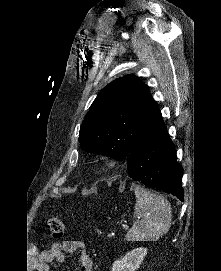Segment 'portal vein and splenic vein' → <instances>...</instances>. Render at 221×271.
I'll return each instance as SVG.
<instances>
[{"instance_id":"obj_1","label":"portal vein and splenic vein","mask_w":221,"mask_h":271,"mask_svg":"<svg viewBox=\"0 0 221 271\" xmlns=\"http://www.w3.org/2000/svg\"><path fill=\"white\" fill-rule=\"evenodd\" d=\"M124 227H128V225H124Z\"/></svg>"}]
</instances>
